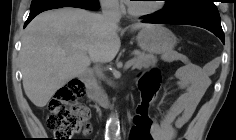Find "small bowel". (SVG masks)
<instances>
[{"mask_svg": "<svg viewBox=\"0 0 236 140\" xmlns=\"http://www.w3.org/2000/svg\"><path fill=\"white\" fill-rule=\"evenodd\" d=\"M177 59L183 63L176 72L179 87L183 93L166 110L159 122H153L152 140H174L178 131L183 129L192 118L211 81L214 72L212 64L200 67L192 63L185 55L177 54ZM92 127L86 123L82 134L87 137ZM87 140V139H84Z\"/></svg>", "mask_w": 236, "mask_h": 140, "instance_id": "obj_1", "label": "small bowel"}]
</instances>
